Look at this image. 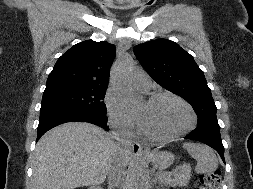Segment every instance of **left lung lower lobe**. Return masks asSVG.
Instances as JSON below:
<instances>
[{
	"label": "left lung lower lobe",
	"mask_w": 253,
	"mask_h": 189,
	"mask_svg": "<svg viewBox=\"0 0 253 189\" xmlns=\"http://www.w3.org/2000/svg\"><path fill=\"white\" fill-rule=\"evenodd\" d=\"M185 139L196 140L213 147L219 153L223 162L225 163L224 147L220 135V126H197V128L191 131L185 137Z\"/></svg>",
	"instance_id": "0a47b994"
}]
</instances>
